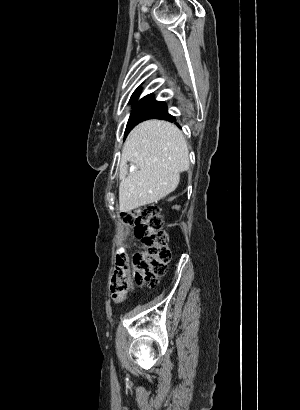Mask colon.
Returning a JSON list of instances; mask_svg holds the SVG:
<instances>
[{"mask_svg":"<svg viewBox=\"0 0 300 410\" xmlns=\"http://www.w3.org/2000/svg\"><path fill=\"white\" fill-rule=\"evenodd\" d=\"M122 218L128 227L134 229L145 251L118 257L111 288L114 292H126L133 283L155 287L171 260L161 210L156 204H147L124 213Z\"/></svg>","mask_w":300,"mask_h":410,"instance_id":"1","label":"colon"}]
</instances>
